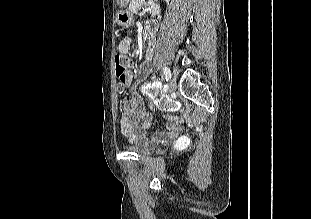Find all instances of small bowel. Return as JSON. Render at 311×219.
I'll return each instance as SVG.
<instances>
[{
	"instance_id": "small-bowel-1",
	"label": "small bowel",
	"mask_w": 311,
	"mask_h": 219,
	"mask_svg": "<svg viewBox=\"0 0 311 219\" xmlns=\"http://www.w3.org/2000/svg\"><path fill=\"white\" fill-rule=\"evenodd\" d=\"M130 49L131 41L129 39H123L118 46V52L123 55L129 54ZM150 55L151 50H149L148 58ZM148 72L149 67L144 66L140 70L134 83L132 71L129 70L126 73L127 87L131 86V93L130 97L124 102L120 126L122 134L132 142L140 141L152 143L175 137L181 131V127L177 123L176 118L171 115H165L166 131L157 133L150 138L147 137V131L151 128L153 114L146 110L140 96V89ZM147 93L154 101H158L160 98L155 84L148 85Z\"/></svg>"
}]
</instances>
